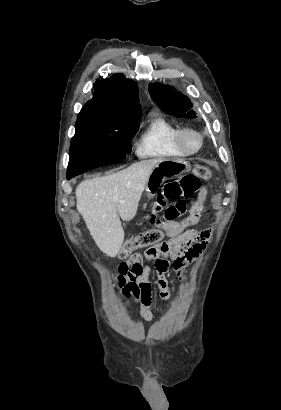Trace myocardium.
Returning <instances> with one entry per match:
<instances>
[{"instance_id": "f54148a6", "label": "myocardium", "mask_w": 281, "mask_h": 410, "mask_svg": "<svg viewBox=\"0 0 281 410\" xmlns=\"http://www.w3.org/2000/svg\"><path fill=\"white\" fill-rule=\"evenodd\" d=\"M194 136L197 138V145L195 147H191L188 144V137ZM177 142L180 149L187 155H193L201 151L204 145V137L201 132L194 128L186 127L181 128L178 135H177Z\"/></svg>"}]
</instances>
